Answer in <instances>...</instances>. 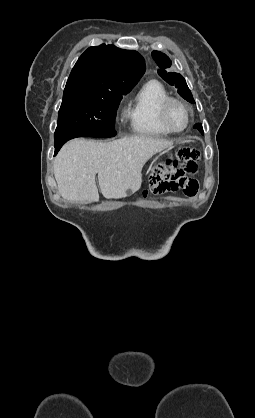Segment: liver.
I'll return each instance as SVG.
<instances>
[{
    "label": "liver",
    "instance_id": "6515ba94",
    "mask_svg": "<svg viewBox=\"0 0 255 418\" xmlns=\"http://www.w3.org/2000/svg\"><path fill=\"white\" fill-rule=\"evenodd\" d=\"M172 141L132 136L111 142L75 139L66 143L54 160L59 194L68 201L98 202L96 174L105 198L119 199L138 191L142 168L156 153L171 147Z\"/></svg>",
    "mask_w": 255,
    "mask_h": 418
}]
</instances>
